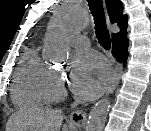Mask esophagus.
I'll use <instances>...</instances> for the list:
<instances>
[{
	"mask_svg": "<svg viewBox=\"0 0 151 131\" xmlns=\"http://www.w3.org/2000/svg\"><path fill=\"white\" fill-rule=\"evenodd\" d=\"M107 23L108 25H110L109 19H107ZM122 68H123L122 64L120 63L116 64L115 69H114L113 80L106 91L107 94L113 93L115 88L119 84L120 79H121V74H122ZM86 120H87V113L83 109H77L73 111L72 114L70 115V121L78 127L84 126L86 123Z\"/></svg>",
	"mask_w": 151,
	"mask_h": 131,
	"instance_id": "1",
	"label": "esophagus"
}]
</instances>
